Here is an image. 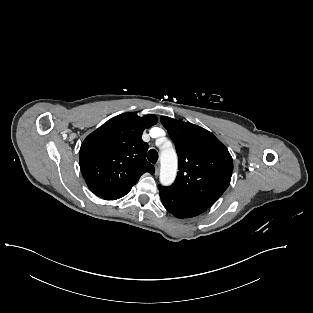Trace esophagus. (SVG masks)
I'll list each match as a JSON object with an SVG mask.
<instances>
[{"instance_id": "34e87169", "label": "esophagus", "mask_w": 313, "mask_h": 313, "mask_svg": "<svg viewBox=\"0 0 313 313\" xmlns=\"http://www.w3.org/2000/svg\"><path fill=\"white\" fill-rule=\"evenodd\" d=\"M159 170H160V165H159V163H157V164L155 165V175H158V174H159Z\"/></svg>"}]
</instances>
